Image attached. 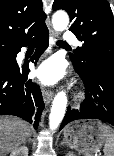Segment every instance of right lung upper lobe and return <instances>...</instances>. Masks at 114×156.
<instances>
[{
  "label": "right lung upper lobe",
  "mask_w": 114,
  "mask_h": 156,
  "mask_svg": "<svg viewBox=\"0 0 114 156\" xmlns=\"http://www.w3.org/2000/svg\"><path fill=\"white\" fill-rule=\"evenodd\" d=\"M45 19L41 0H0V46L34 33Z\"/></svg>",
  "instance_id": "1"
}]
</instances>
